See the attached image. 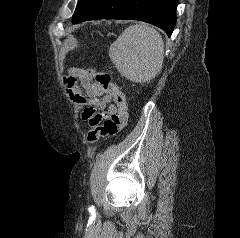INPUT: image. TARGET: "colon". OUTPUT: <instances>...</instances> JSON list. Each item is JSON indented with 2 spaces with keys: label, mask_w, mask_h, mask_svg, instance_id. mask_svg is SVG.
<instances>
[{
  "label": "colon",
  "mask_w": 240,
  "mask_h": 238,
  "mask_svg": "<svg viewBox=\"0 0 240 238\" xmlns=\"http://www.w3.org/2000/svg\"><path fill=\"white\" fill-rule=\"evenodd\" d=\"M92 73L95 81L113 98L118 112L91 128L87 134L89 143H95L103 137L117 135L126 125L128 118L125 94L113 82L111 75L99 70H92Z\"/></svg>",
  "instance_id": "obj_1"
}]
</instances>
